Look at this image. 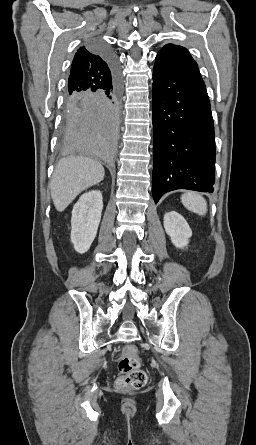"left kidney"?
<instances>
[{"instance_id": "obj_1", "label": "left kidney", "mask_w": 256, "mask_h": 445, "mask_svg": "<svg viewBox=\"0 0 256 445\" xmlns=\"http://www.w3.org/2000/svg\"><path fill=\"white\" fill-rule=\"evenodd\" d=\"M163 223L173 245L177 248H184L192 236V231L183 216L175 211L167 212L164 215Z\"/></svg>"}]
</instances>
